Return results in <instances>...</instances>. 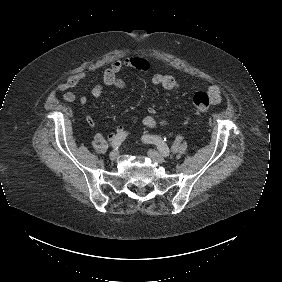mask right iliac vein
<instances>
[{
    "instance_id": "obj_1",
    "label": "right iliac vein",
    "mask_w": 282,
    "mask_h": 282,
    "mask_svg": "<svg viewBox=\"0 0 282 282\" xmlns=\"http://www.w3.org/2000/svg\"><path fill=\"white\" fill-rule=\"evenodd\" d=\"M109 157H110V159H111L112 161L118 159V158H119V150H118V149L113 150V151L110 153Z\"/></svg>"
}]
</instances>
